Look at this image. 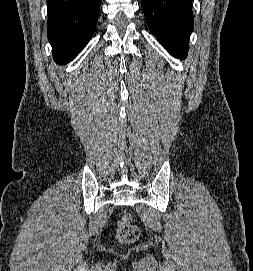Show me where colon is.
<instances>
[{"label":"colon","mask_w":253,"mask_h":271,"mask_svg":"<svg viewBox=\"0 0 253 271\" xmlns=\"http://www.w3.org/2000/svg\"><path fill=\"white\" fill-rule=\"evenodd\" d=\"M140 235L139 228L133 224L132 217L129 213L121 216L117 229V238L123 244L135 242Z\"/></svg>","instance_id":"obj_1"}]
</instances>
